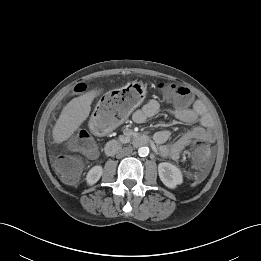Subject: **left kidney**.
Segmentation results:
<instances>
[{
  "label": "left kidney",
  "instance_id": "obj_1",
  "mask_svg": "<svg viewBox=\"0 0 261 261\" xmlns=\"http://www.w3.org/2000/svg\"><path fill=\"white\" fill-rule=\"evenodd\" d=\"M158 174L163 184L171 189L176 188L177 185L183 182L181 170L168 162H162L158 165Z\"/></svg>",
  "mask_w": 261,
  "mask_h": 261
}]
</instances>
